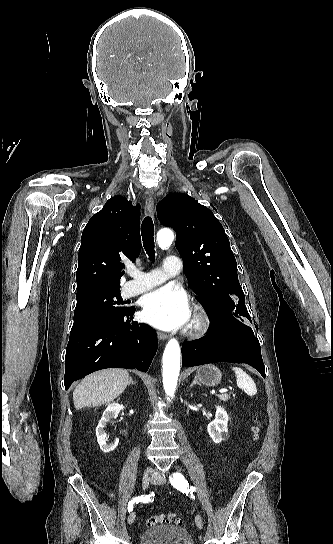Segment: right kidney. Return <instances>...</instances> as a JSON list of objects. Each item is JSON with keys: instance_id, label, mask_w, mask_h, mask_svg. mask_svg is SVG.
Here are the masks:
<instances>
[{"instance_id": "1", "label": "right kidney", "mask_w": 333, "mask_h": 544, "mask_svg": "<svg viewBox=\"0 0 333 544\" xmlns=\"http://www.w3.org/2000/svg\"><path fill=\"white\" fill-rule=\"evenodd\" d=\"M123 408H124L123 405H120V404L115 403V402L109 404L107 406V408L105 409V411L103 412L102 417H101V419L99 421V424L96 427L97 441H98V444L100 446V449L104 453H109V452L113 451L117 447V445L119 443V439L116 438L113 443L107 444V442H106V433L104 431V428H105L107 422L110 419L115 418L119 414L121 409H123Z\"/></svg>"}]
</instances>
